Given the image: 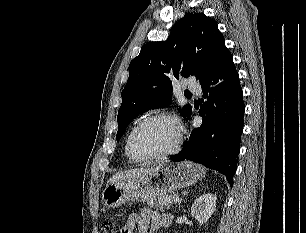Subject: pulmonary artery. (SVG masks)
<instances>
[{"label": "pulmonary artery", "mask_w": 306, "mask_h": 233, "mask_svg": "<svg viewBox=\"0 0 306 233\" xmlns=\"http://www.w3.org/2000/svg\"><path fill=\"white\" fill-rule=\"evenodd\" d=\"M188 89L196 94H201L202 88L199 84H197L194 80H190L187 84Z\"/></svg>", "instance_id": "e3ab8cb5"}]
</instances>
